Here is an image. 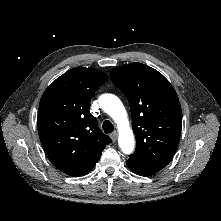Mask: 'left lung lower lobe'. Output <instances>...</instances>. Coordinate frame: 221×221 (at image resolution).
Masks as SVG:
<instances>
[{"label": "left lung lower lobe", "instance_id": "left-lung-lower-lobe-1", "mask_svg": "<svg viewBox=\"0 0 221 221\" xmlns=\"http://www.w3.org/2000/svg\"><path fill=\"white\" fill-rule=\"evenodd\" d=\"M126 164L128 165L131 171L140 176H149L161 170L155 167L148 166L132 158H129L126 161Z\"/></svg>", "mask_w": 221, "mask_h": 221}]
</instances>
